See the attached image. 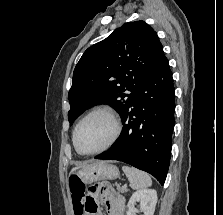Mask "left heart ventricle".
Returning <instances> with one entry per match:
<instances>
[{
	"mask_svg": "<svg viewBox=\"0 0 223 215\" xmlns=\"http://www.w3.org/2000/svg\"><path fill=\"white\" fill-rule=\"evenodd\" d=\"M113 133V124L105 115H95L84 121L77 130L76 145L84 153L104 146Z\"/></svg>",
	"mask_w": 223,
	"mask_h": 215,
	"instance_id": "left-heart-ventricle-1",
	"label": "left heart ventricle"
}]
</instances>
